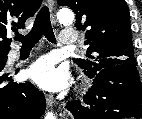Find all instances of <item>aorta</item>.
Returning a JSON list of instances; mask_svg holds the SVG:
<instances>
[{
    "label": "aorta",
    "instance_id": "aorta-1",
    "mask_svg": "<svg viewBox=\"0 0 142 119\" xmlns=\"http://www.w3.org/2000/svg\"><path fill=\"white\" fill-rule=\"evenodd\" d=\"M57 19L60 24H70L74 20V14L69 9H61L57 14ZM45 119H56L52 112H48Z\"/></svg>",
    "mask_w": 142,
    "mask_h": 119
}]
</instances>
